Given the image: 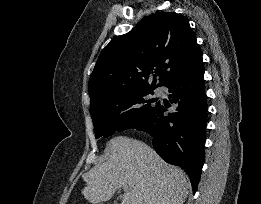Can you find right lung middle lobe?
Listing matches in <instances>:
<instances>
[{
    "instance_id": "dd1d6c3e",
    "label": "right lung middle lobe",
    "mask_w": 261,
    "mask_h": 204,
    "mask_svg": "<svg viewBox=\"0 0 261 204\" xmlns=\"http://www.w3.org/2000/svg\"><path fill=\"white\" fill-rule=\"evenodd\" d=\"M152 93L153 90L127 91L108 102L90 107L96 138L130 129L146 118L155 107L151 103L156 100L147 97Z\"/></svg>"
}]
</instances>
